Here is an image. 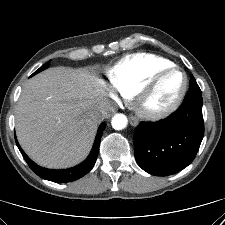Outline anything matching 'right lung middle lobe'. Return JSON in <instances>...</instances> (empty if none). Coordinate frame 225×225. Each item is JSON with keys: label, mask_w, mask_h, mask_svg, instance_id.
<instances>
[{"label": "right lung middle lobe", "mask_w": 225, "mask_h": 225, "mask_svg": "<svg viewBox=\"0 0 225 225\" xmlns=\"http://www.w3.org/2000/svg\"><path fill=\"white\" fill-rule=\"evenodd\" d=\"M48 66H49V62H48L47 64L43 65L42 67H40V68H39L37 71H35L31 76H33V75H35V74H37V73H39V72H41V71L47 69Z\"/></svg>", "instance_id": "right-lung-middle-lobe-1"}]
</instances>
